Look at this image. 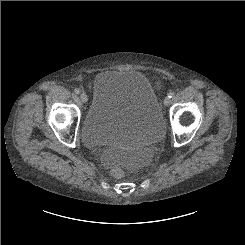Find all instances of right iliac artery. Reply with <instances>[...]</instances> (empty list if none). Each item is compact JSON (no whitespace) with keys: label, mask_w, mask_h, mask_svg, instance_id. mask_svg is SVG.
<instances>
[{"label":"right iliac artery","mask_w":245,"mask_h":245,"mask_svg":"<svg viewBox=\"0 0 245 245\" xmlns=\"http://www.w3.org/2000/svg\"><path fill=\"white\" fill-rule=\"evenodd\" d=\"M74 92H75L76 94H79V93H80V90H79L78 88H76V89L74 90Z\"/></svg>","instance_id":"1"}]
</instances>
